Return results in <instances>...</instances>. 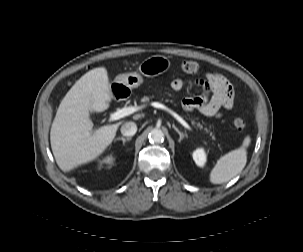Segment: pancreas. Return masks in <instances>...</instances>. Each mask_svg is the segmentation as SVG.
Instances as JSON below:
<instances>
[{
    "mask_svg": "<svg viewBox=\"0 0 303 252\" xmlns=\"http://www.w3.org/2000/svg\"><path fill=\"white\" fill-rule=\"evenodd\" d=\"M141 101H142L143 103H148V102L150 101V98H149L148 96H144V97L141 98ZM191 123H192L193 125H196V126L199 127V128H202V126H201L199 123H196L194 120H191ZM205 130L207 131V133L210 134V136H211L212 139H215V137H214V135H213L212 132H210L208 129H205Z\"/></svg>",
    "mask_w": 303,
    "mask_h": 252,
    "instance_id": "obj_1",
    "label": "pancreas"
}]
</instances>
